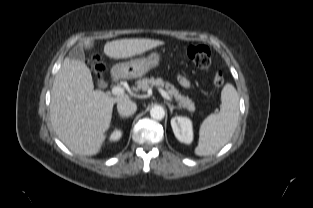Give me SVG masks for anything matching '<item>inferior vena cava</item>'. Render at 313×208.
<instances>
[{"instance_id":"602c4592","label":"inferior vena cava","mask_w":313,"mask_h":208,"mask_svg":"<svg viewBox=\"0 0 313 208\" xmlns=\"http://www.w3.org/2000/svg\"><path fill=\"white\" fill-rule=\"evenodd\" d=\"M117 110L121 115L130 116L136 112L137 105L133 101L125 99L117 103Z\"/></svg>"}]
</instances>
